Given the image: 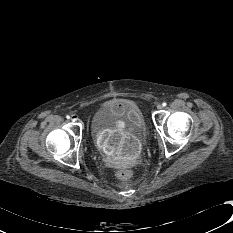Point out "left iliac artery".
<instances>
[{
    "label": "left iliac artery",
    "instance_id": "1",
    "mask_svg": "<svg viewBox=\"0 0 233 233\" xmlns=\"http://www.w3.org/2000/svg\"><path fill=\"white\" fill-rule=\"evenodd\" d=\"M162 105H163V107H165V106L167 105V103H166V102H163V104H162Z\"/></svg>",
    "mask_w": 233,
    "mask_h": 233
}]
</instances>
